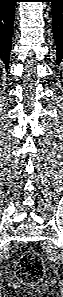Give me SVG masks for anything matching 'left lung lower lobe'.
Returning a JSON list of instances; mask_svg holds the SVG:
<instances>
[{
    "instance_id": "left-lung-lower-lobe-1",
    "label": "left lung lower lobe",
    "mask_w": 63,
    "mask_h": 297,
    "mask_svg": "<svg viewBox=\"0 0 63 297\" xmlns=\"http://www.w3.org/2000/svg\"><path fill=\"white\" fill-rule=\"evenodd\" d=\"M47 2H52L53 32L59 64L63 60V0H47Z\"/></svg>"
}]
</instances>
